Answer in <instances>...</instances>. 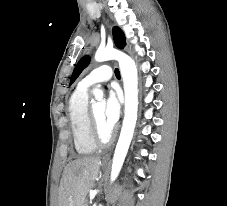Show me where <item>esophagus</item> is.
Instances as JSON below:
<instances>
[{"label":"esophagus","instance_id":"esophagus-1","mask_svg":"<svg viewBox=\"0 0 227 206\" xmlns=\"http://www.w3.org/2000/svg\"><path fill=\"white\" fill-rule=\"evenodd\" d=\"M109 159H110V155H107V156L104 158L105 161H108Z\"/></svg>","mask_w":227,"mask_h":206}]
</instances>
